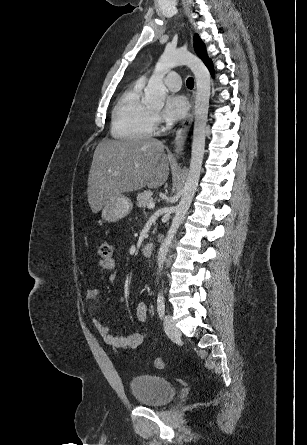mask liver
Wrapping results in <instances>:
<instances>
[{"mask_svg": "<svg viewBox=\"0 0 307 445\" xmlns=\"http://www.w3.org/2000/svg\"><path fill=\"white\" fill-rule=\"evenodd\" d=\"M168 158L163 142L157 138H103L95 148L87 182L92 212H99L115 194L140 190L143 186H162L168 178L170 162H175L174 158Z\"/></svg>", "mask_w": 307, "mask_h": 445, "instance_id": "6515ba94", "label": "liver"}]
</instances>
